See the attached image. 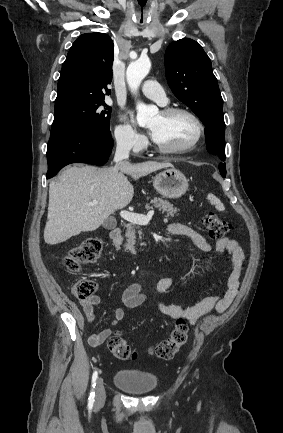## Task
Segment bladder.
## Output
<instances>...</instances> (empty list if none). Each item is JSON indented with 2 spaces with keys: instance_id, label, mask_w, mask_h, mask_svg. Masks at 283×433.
I'll use <instances>...</instances> for the list:
<instances>
[{
  "instance_id": "obj_1",
  "label": "bladder",
  "mask_w": 283,
  "mask_h": 433,
  "mask_svg": "<svg viewBox=\"0 0 283 433\" xmlns=\"http://www.w3.org/2000/svg\"><path fill=\"white\" fill-rule=\"evenodd\" d=\"M115 385L130 393H148L157 385V376L150 371L122 367L114 379Z\"/></svg>"
}]
</instances>
